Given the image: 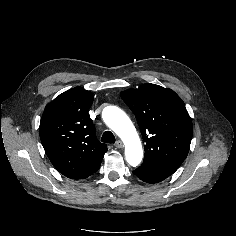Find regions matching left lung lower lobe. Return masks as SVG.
I'll return each instance as SVG.
<instances>
[{"label":"left lung lower lobe","mask_w":236,"mask_h":236,"mask_svg":"<svg viewBox=\"0 0 236 236\" xmlns=\"http://www.w3.org/2000/svg\"><path fill=\"white\" fill-rule=\"evenodd\" d=\"M133 174L142 181L150 184L159 183L169 177L168 175L155 171L150 165L145 163L134 170Z\"/></svg>","instance_id":"1"}]
</instances>
